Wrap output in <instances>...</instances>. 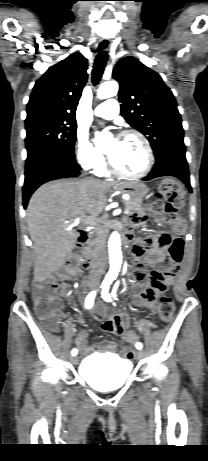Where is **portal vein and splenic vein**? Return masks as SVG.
Listing matches in <instances>:
<instances>
[{
  "instance_id": "18ae733b",
  "label": "portal vein and splenic vein",
  "mask_w": 208,
  "mask_h": 461,
  "mask_svg": "<svg viewBox=\"0 0 208 461\" xmlns=\"http://www.w3.org/2000/svg\"><path fill=\"white\" fill-rule=\"evenodd\" d=\"M128 212H129L128 209H125L124 213L127 214ZM78 221H79V220H76V222H78ZM76 222H75L73 225H75ZM82 222L85 223V224H88V225H94V224H96V221L94 220L93 217H86V218H84V219L82 220Z\"/></svg>"
}]
</instances>
